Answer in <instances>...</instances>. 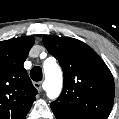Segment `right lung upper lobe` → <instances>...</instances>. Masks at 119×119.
Returning a JSON list of instances; mask_svg holds the SVG:
<instances>
[{
    "label": "right lung upper lobe",
    "instance_id": "cb5924a9",
    "mask_svg": "<svg viewBox=\"0 0 119 119\" xmlns=\"http://www.w3.org/2000/svg\"><path fill=\"white\" fill-rule=\"evenodd\" d=\"M34 39L30 36L0 42V119H23L37 94L23 67Z\"/></svg>",
    "mask_w": 119,
    "mask_h": 119
}]
</instances>
